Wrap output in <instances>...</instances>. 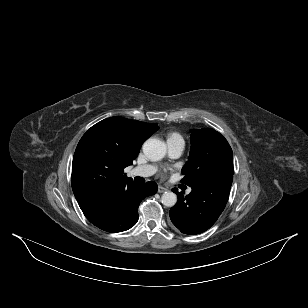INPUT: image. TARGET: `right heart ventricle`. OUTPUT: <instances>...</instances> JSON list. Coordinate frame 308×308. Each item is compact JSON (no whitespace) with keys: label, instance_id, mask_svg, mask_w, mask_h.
<instances>
[{"label":"right heart ventricle","instance_id":"e07e8e85","mask_svg":"<svg viewBox=\"0 0 308 308\" xmlns=\"http://www.w3.org/2000/svg\"><path fill=\"white\" fill-rule=\"evenodd\" d=\"M167 141H180L184 143V138L178 132H170L167 134Z\"/></svg>","mask_w":308,"mask_h":308}]
</instances>
